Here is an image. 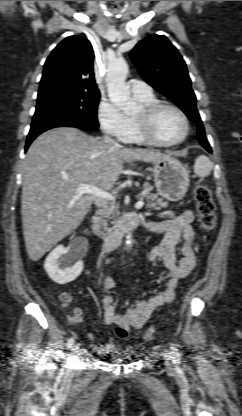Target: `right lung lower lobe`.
Returning <instances> with one entry per match:
<instances>
[{"label": "right lung lower lobe", "mask_w": 242, "mask_h": 416, "mask_svg": "<svg viewBox=\"0 0 242 416\" xmlns=\"http://www.w3.org/2000/svg\"><path fill=\"white\" fill-rule=\"evenodd\" d=\"M64 126L76 127V128H79V129L85 130V131L93 130V129H90L85 124H83L79 121L70 120V119L52 120V121L41 122L39 124L31 126L30 132L27 136L25 151L28 149L31 142L42 132L47 131L51 128L64 127Z\"/></svg>", "instance_id": "right-lung-lower-lobe-1"}]
</instances>
